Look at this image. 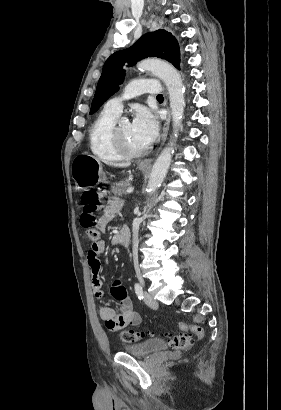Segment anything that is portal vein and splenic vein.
<instances>
[{"instance_id": "obj_1", "label": "portal vein and splenic vein", "mask_w": 281, "mask_h": 410, "mask_svg": "<svg viewBox=\"0 0 281 410\" xmlns=\"http://www.w3.org/2000/svg\"><path fill=\"white\" fill-rule=\"evenodd\" d=\"M134 191V187H129V188H127V190H126V193L127 194H130V193H132Z\"/></svg>"}]
</instances>
